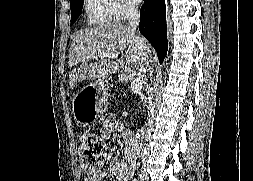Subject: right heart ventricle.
Segmentation results:
<instances>
[{"mask_svg":"<svg viewBox=\"0 0 253 181\" xmlns=\"http://www.w3.org/2000/svg\"><path fill=\"white\" fill-rule=\"evenodd\" d=\"M84 14L88 25H107L113 21L111 0H84Z\"/></svg>","mask_w":253,"mask_h":181,"instance_id":"right-heart-ventricle-1","label":"right heart ventricle"}]
</instances>
